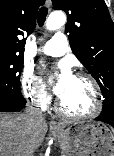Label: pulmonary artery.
I'll use <instances>...</instances> for the list:
<instances>
[{
    "label": "pulmonary artery",
    "mask_w": 114,
    "mask_h": 156,
    "mask_svg": "<svg viewBox=\"0 0 114 156\" xmlns=\"http://www.w3.org/2000/svg\"><path fill=\"white\" fill-rule=\"evenodd\" d=\"M68 50V41L63 33H56L46 44L41 51L48 56L59 57L64 55Z\"/></svg>",
    "instance_id": "e3ab8cb5"
}]
</instances>
